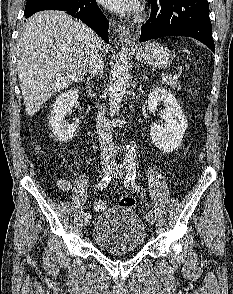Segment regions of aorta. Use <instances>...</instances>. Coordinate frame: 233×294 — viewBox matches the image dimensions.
<instances>
[{
    "label": "aorta",
    "instance_id": "aorta-1",
    "mask_svg": "<svg viewBox=\"0 0 233 294\" xmlns=\"http://www.w3.org/2000/svg\"><path fill=\"white\" fill-rule=\"evenodd\" d=\"M129 60V53L126 48H123L117 55L110 81L109 113L111 116H114L118 112L119 104L121 103L126 91V85L130 77ZM124 162L128 166H135L136 154L132 146L126 147Z\"/></svg>",
    "mask_w": 233,
    "mask_h": 294
}]
</instances>
